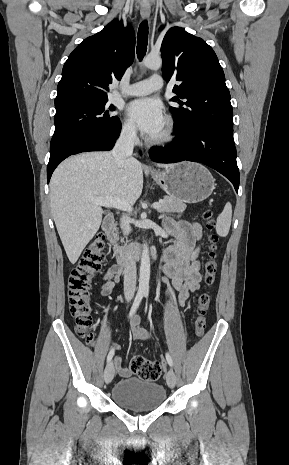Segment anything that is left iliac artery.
<instances>
[{
    "label": "left iliac artery",
    "instance_id": "1",
    "mask_svg": "<svg viewBox=\"0 0 289 465\" xmlns=\"http://www.w3.org/2000/svg\"><path fill=\"white\" fill-rule=\"evenodd\" d=\"M144 295H145V297H148V292H145ZM166 360H167L168 364L172 367L173 366V360H172L169 353H166Z\"/></svg>",
    "mask_w": 289,
    "mask_h": 465
}]
</instances>
